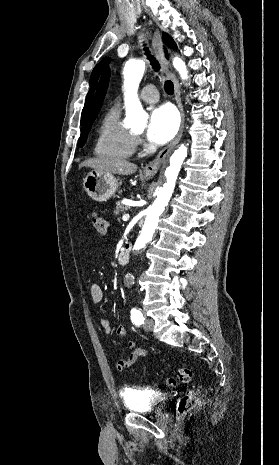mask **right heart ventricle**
I'll return each mask as SVG.
<instances>
[{
	"instance_id": "right-heart-ventricle-1",
	"label": "right heart ventricle",
	"mask_w": 279,
	"mask_h": 465,
	"mask_svg": "<svg viewBox=\"0 0 279 465\" xmlns=\"http://www.w3.org/2000/svg\"><path fill=\"white\" fill-rule=\"evenodd\" d=\"M136 139L120 119L118 107L105 114L98 132L94 152L97 156L111 159H126L133 155Z\"/></svg>"
}]
</instances>
